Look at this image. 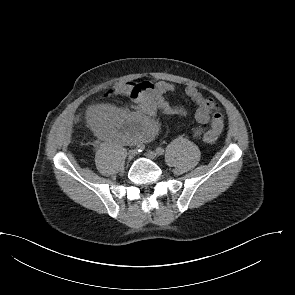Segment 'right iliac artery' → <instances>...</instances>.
I'll return each instance as SVG.
<instances>
[{
  "label": "right iliac artery",
  "mask_w": 295,
  "mask_h": 295,
  "mask_svg": "<svg viewBox=\"0 0 295 295\" xmlns=\"http://www.w3.org/2000/svg\"><path fill=\"white\" fill-rule=\"evenodd\" d=\"M143 149H144L143 146L138 145L137 148H136V151L141 152V151H143Z\"/></svg>",
  "instance_id": "obj_1"
}]
</instances>
